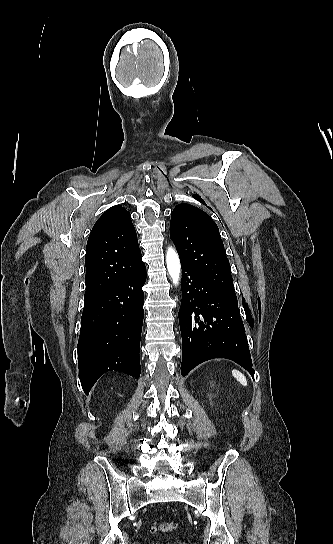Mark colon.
<instances>
[{
    "label": "colon",
    "instance_id": "1",
    "mask_svg": "<svg viewBox=\"0 0 333 544\" xmlns=\"http://www.w3.org/2000/svg\"><path fill=\"white\" fill-rule=\"evenodd\" d=\"M176 524L174 522H162L154 523L151 527L152 532L171 533L175 530Z\"/></svg>",
    "mask_w": 333,
    "mask_h": 544
}]
</instances>
